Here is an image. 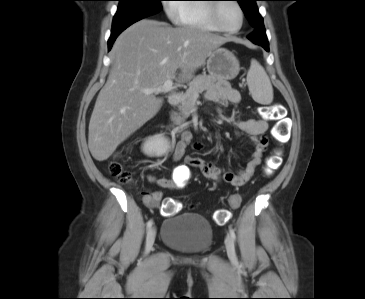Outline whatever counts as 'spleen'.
<instances>
[{
  "label": "spleen",
  "mask_w": 365,
  "mask_h": 299,
  "mask_svg": "<svg viewBox=\"0 0 365 299\" xmlns=\"http://www.w3.org/2000/svg\"><path fill=\"white\" fill-rule=\"evenodd\" d=\"M247 84L254 101L259 104H270L273 100V88L264 68L255 59L247 74Z\"/></svg>",
  "instance_id": "1"
}]
</instances>
